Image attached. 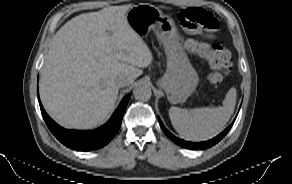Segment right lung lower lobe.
Masks as SVG:
<instances>
[{
	"label": "right lung lower lobe",
	"instance_id": "1",
	"mask_svg": "<svg viewBox=\"0 0 292 184\" xmlns=\"http://www.w3.org/2000/svg\"><path fill=\"white\" fill-rule=\"evenodd\" d=\"M39 98V97H38ZM130 96L125 97L111 119L95 131L66 130L57 125L45 112L40 100L42 116L53 135L65 146L78 150L90 151L99 149L110 142L120 128L124 111Z\"/></svg>",
	"mask_w": 292,
	"mask_h": 184
}]
</instances>
